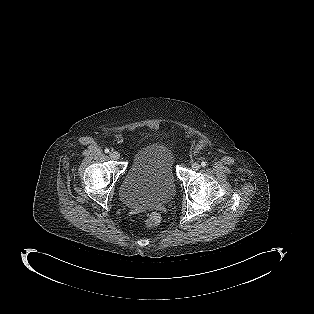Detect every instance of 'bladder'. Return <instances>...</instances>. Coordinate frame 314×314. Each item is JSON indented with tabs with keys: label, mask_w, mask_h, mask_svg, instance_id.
I'll return each mask as SVG.
<instances>
[{
	"label": "bladder",
	"mask_w": 314,
	"mask_h": 314,
	"mask_svg": "<svg viewBox=\"0 0 314 314\" xmlns=\"http://www.w3.org/2000/svg\"><path fill=\"white\" fill-rule=\"evenodd\" d=\"M176 192L174 156L162 145H150L137 153L127 169L121 200L130 208L154 209L172 200Z\"/></svg>",
	"instance_id": "1"
}]
</instances>
